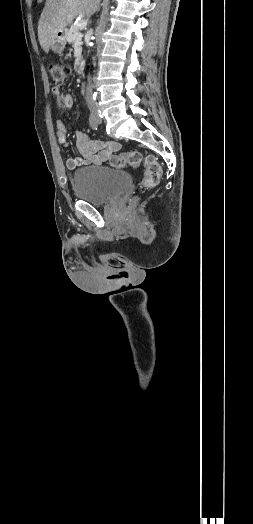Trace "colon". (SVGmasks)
Segmentation results:
<instances>
[{
    "mask_svg": "<svg viewBox=\"0 0 253 524\" xmlns=\"http://www.w3.org/2000/svg\"><path fill=\"white\" fill-rule=\"evenodd\" d=\"M48 70L56 85L62 84L69 74L68 67L58 63L50 64ZM142 160V154L138 151L122 152L112 158V165L116 168H124L126 166L137 168L141 165ZM144 166L145 173L142 185L146 188H152L159 183L162 177V167L153 156L145 158Z\"/></svg>",
    "mask_w": 253,
    "mask_h": 524,
    "instance_id": "1",
    "label": "colon"
}]
</instances>
